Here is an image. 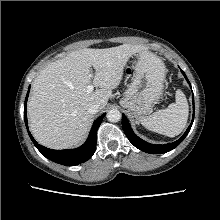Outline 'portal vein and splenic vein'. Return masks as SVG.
Masks as SVG:
<instances>
[{
	"label": "portal vein and splenic vein",
	"instance_id": "portal-vein-and-splenic-vein-1",
	"mask_svg": "<svg viewBox=\"0 0 220 220\" xmlns=\"http://www.w3.org/2000/svg\"><path fill=\"white\" fill-rule=\"evenodd\" d=\"M86 90H87L88 93L93 92V90H94V85H92V84L88 85Z\"/></svg>",
	"mask_w": 220,
	"mask_h": 220
}]
</instances>
